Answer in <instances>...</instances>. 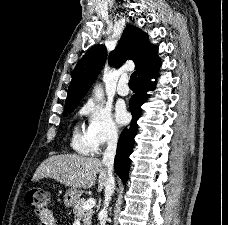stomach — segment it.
<instances>
[{
	"instance_id": "0dacf381",
	"label": "stomach",
	"mask_w": 228,
	"mask_h": 225,
	"mask_svg": "<svg viewBox=\"0 0 228 225\" xmlns=\"http://www.w3.org/2000/svg\"><path fill=\"white\" fill-rule=\"evenodd\" d=\"M81 197L80 189H67L64 195V203L66 207H72L75 201H78Z\"/></svg>"
}]
</instances>
